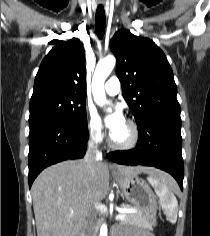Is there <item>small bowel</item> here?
<instances>
[{
	"label": "small bowel",
	"instance_id": "small-bowel-1",
	"mask_svg": "<svg viewBox=\"0 0 210 236\" xmlns=\"http://www.w3.org/2000/svg\"><path fill=\"white\" fill-rule=\"evenodd\" d=\"M115 236H153V235L148 232H130L121 229H116Z\"/></svg>",
	"mask_w": 210,
	"mask_h": 236
}]
</instances>
